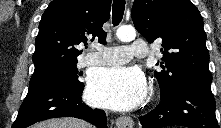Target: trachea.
<instances>
[{"instance_id":"1","label":"trachea","mask_w":221,"mask_h":128,"mask_svg":"<svg viewBox=\"0 0 221 128\" xmlns=\"http://www.w3.org/2000/svg\"><path fill=\"white\" fill-rule=\"evenodd\" d=\"M125 9V0H114L113 1V8H112V15H113V25L117 26L122 18Z\"/></svg>"}]
</instances>
